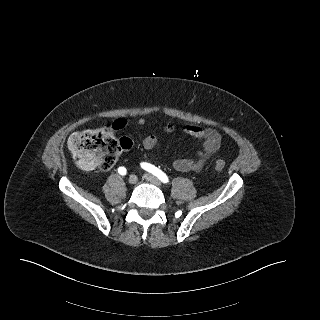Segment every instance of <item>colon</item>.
I'll return each mask as SVG.
<instances>
[{"mask_svg":"<svg viewBox=\"0 0 320 320\" xmlns=\"http://www.w3.org/2000/svg\"><path fill=\"white\" fill-rule=\"evenodd\" d=\"M116 124L73 133L68 140V147L74 154L79 166L84 170H108L117 161L121 150L130 149L132 142L127 137L117 139L114 131ZM215 168L223 170L225 161H215Z\"/></svg>","mask_w":320,"mask_h":320,"instance_id":"obj_1","label":"colon"}]
</instances>
